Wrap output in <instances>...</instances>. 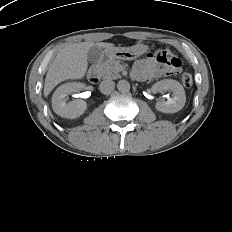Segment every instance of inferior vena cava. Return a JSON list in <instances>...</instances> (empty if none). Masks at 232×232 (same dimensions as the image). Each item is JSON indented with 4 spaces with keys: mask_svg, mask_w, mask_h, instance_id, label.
Masks as SVG:
<instances>
[{
    "mask_svg": "<svg viewBox=\"0 0 232 232\" xmlns=\"http://www.w3.org/2000/svg\"><path fill=\"white\" fill-rule=\"evenodd\" d=\"M99 88L103 94H110L115 88V83L114 81L107 79L100 83Z\"/></svg>",
    "mask_w": 232,
    "mask_h": 232,
    "instance_id": "1",
    "label": "inferior vena cava"
}]
</instances>
